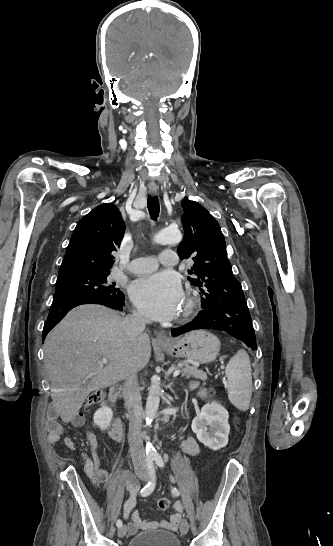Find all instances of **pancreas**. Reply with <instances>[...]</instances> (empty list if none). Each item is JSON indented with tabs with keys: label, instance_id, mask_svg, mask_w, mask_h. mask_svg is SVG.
<instances>
[{
	"label": "pancreas",
	"instance_id": "1",
	"mask_svg": "<svg viewBox=\"0 0 333 546\" xmlns=\"http://www.w3.org/2000/svg\"><path fill=\"white\" fill-rule=\"evenodd\" d=\"M175 369L180 370L181 376L185 378L194 377L200 380H207V374L202 370H199L195 366L189 365L187 362H178L176 365H173Z\"/></svg>",
	"mask_w": 333,
	"mask_h": 546
}]
</instances>
